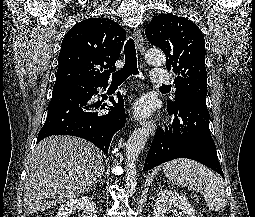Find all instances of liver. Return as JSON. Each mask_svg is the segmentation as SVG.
Instances as JSON below:
<instances>
[{
  "label": "liver",
  "mask_w": 255,
  "mask_h": 217,
  "mask_svg": "<svg viewBox=\"0 0 255 217\" xmlns=\"http://www.w3.org/2000/svg\"><path fill=\"white\" fill-rule=\"evenodd\" d=\"M103 172V154L94 144L73 136L45 138L29 159L24 188L27 214L85 193Z\"/></svg>",
  "instance_id": "liver-1"
}]
</instances>
